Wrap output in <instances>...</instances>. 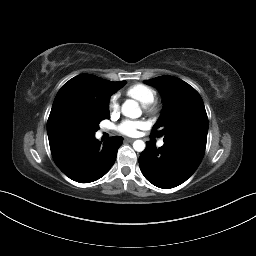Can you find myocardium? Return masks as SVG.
Returning a JSON list of instances; mask_svg holds the SVG:
<instances>
[{
    "label": "myocardium",
    "instance_id": "myocardium-1",
    "mask_svg": "<svg viewBox=\"0 0 256 256\" xmlns=\"http://www.w3.org/2000/svg\"><path fill=\"white\" fill-rule=\"evenodd\" d=\"M144 109L151 115L156 114L159 110L158 103L154 100L151 103L144 105Z\"/></svg>",
    "mask_w": 256,
    "mask_h": 256
}]
</instances>
